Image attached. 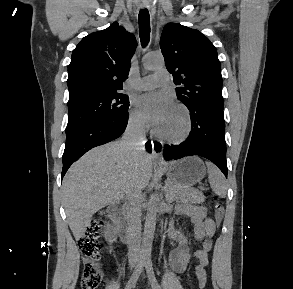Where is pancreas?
I'll return each instance as SVG.
<instances>
[{
  "label": "pancreas",
  "mask_w": 293,
  "mask_h": 289,
  "mask_svg": "<svg viewBox=\"0 0 293 289\" xmlns=\"http://www.w3.org/2000/svg\"><path fill=\"white\" fill-rule=\"evenodd\" d=\"M165 198L168 202L202 203L205 196L201 191L188 186L168 182L165 188Z\"/></svg>",
  "instance_id": "pancreas-1"
}]
</instances>
